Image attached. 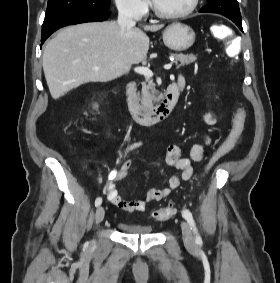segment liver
Instances as JSON below:
<instances>
[{"label": "liver", "instance_id": "liver-1", "mask_svg": "<svg viewBox=\"0 0 280 283\" xmlns=\"http://www.w3.org/2000/svg\"><path fill=\"white\" fill-rule=\"evenodd\" d=\"M163 25H147L155 32ZM150 41L139 27L121 32L115 21L83 23L61 30L45 47L43 70L54 99L88 82H107L142 62Z\"/></svg>", "mask_w": 280, "mask_h": 283}]
</instances>
